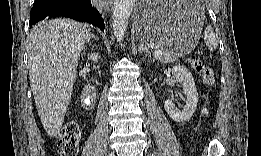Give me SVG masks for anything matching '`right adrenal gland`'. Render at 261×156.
Masks as SVG:
<instances>
[{"mask_svg":"<svg viewBox=\"0 0 261 156\" xmlns=\"http://www.w3.org/2000/svg\"><path fill=\"white\" fill-rule=\"evenodd\" d=\"M91 38L95 39V40H99L98 37H96L95 35L92 34Z\"/></svg>","mask_w":261,"mask_h":156,"instance_id":"obj_1","label":"right adrenal gland"}]
</instances>
